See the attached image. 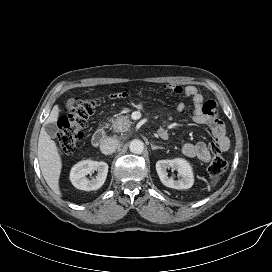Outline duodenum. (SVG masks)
I'll return each mask as SVG.
<instances>
[{
	"instance_id": "1",
	"label": "duodenum",
	"mask_w": 272,
	"mask_h": 272,
	"mask_svg": "<svg viewBox=\"0 0 272 272\" xmlns=\"http://www.w3.org/2000/svg\"><path fill=\"white\" fill-rule=\"evenodd\" d=\"M158 135L162 139L166 138V136H167L166 133L160 132V131H158ZM105 137H106V131H105V129L104 128L97 129L94 132L93 136H92V144L94 146H99L104 141Z\"/></svg>"
}]
</instances>
